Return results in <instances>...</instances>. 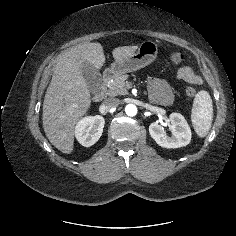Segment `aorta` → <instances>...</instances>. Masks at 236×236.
I'll list each match as a JSON object with an SVG mask.
<instances>
[{"label":"aorta","instance_id":"1","mask_svg":"<svg viewBox=\"0 0 236 236\" xmlns=\"http://www.w3.org/2000/svg\"><path fill=\"white\" fill-rule=\"evenodd\" d=\"M125 113L128 116L133 117V116H135L137 114V107L134 104H128L125 107Z\"/></svg>","mask_w":236,"mask_h":236}]
</instances>
